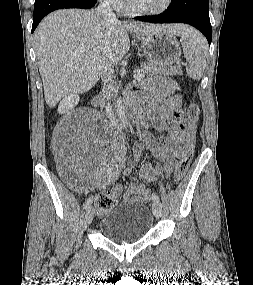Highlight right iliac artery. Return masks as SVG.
<instances>
[{"label": "right iliac artery", "mask_w": 253, "mask_h": 285, "mask_svg": "<svg viewBox=\"0 0 253 285\" xmlns=\"http://www.w3.org/2000/svg\"><path fill=\"white\" fill-rule=\"evenodd\" d=\"M115 179H117V177H116ZM92 201H93V197H89V198L85 201L84 208H88V207L92 204Z\"/></svg>", "instance_id": "right-iliac-artery-1"}]
</instances>
